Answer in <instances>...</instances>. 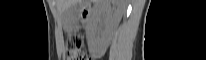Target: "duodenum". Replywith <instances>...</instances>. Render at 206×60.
<instances>
[{
    "label": "duodenum",
    "instance_id": "obj_1",
    "mask_svg": "<svg viewBox=\"0 0 206 60\" xmlns=\"http://www.w3.org/2000/svg\"><path fill=\"white\" fill-rule=\"evenodd\" d=\"M90 13V6L84 5L81 10V17L85 21Z\"/></svg>",
    "mask_w": 206,
    "mask_h": 60
}]
</instances>
